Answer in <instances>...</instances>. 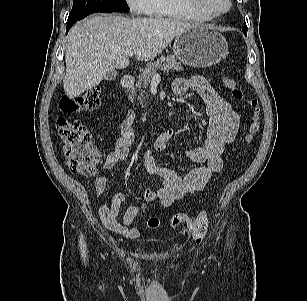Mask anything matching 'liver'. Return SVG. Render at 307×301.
Instances as JSON below:
<instances>
[{
	"label": "liver",
	"instance_id": "liver-1",
	"mask_svg": "<svg viewBox=\"0 0 307 301\" xmlns=\"http://www.w3.org/2000/svg\"><path fill=\"white\" fill-rule=\"evenodd\" d=\"M191 27V23L162 17L115 15H95L75 24L65 53L63 86L67 97L73 99L97 86L115 68H126L131 50H136L138 61L154 59Z\"/></svg>",
	"mask_w": 307,
	"mask_h": 301
}]
</instances>
